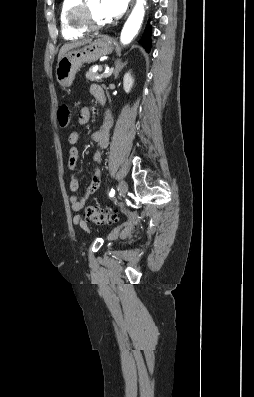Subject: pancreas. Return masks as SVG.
I'll use <instances>...</instances> for the list:
<instances>
[{
    "label": "pancreas",
    "mask_w": 254,
    "mask_h": 397,
    "mask_svg": "<svg viewBox=\"0 0 254 397\" xmlns=\"http://www.w3.org/2000/svg\"><path fill=\"white\" fill-rule=\"evenodd\" d=\"M102 70V66L98 67V71ZM98 72H94L93 68L91 67L86 73V79L90 81H97Z\"/></svg>",
    "instance_id": "1"
}]
</instances>
